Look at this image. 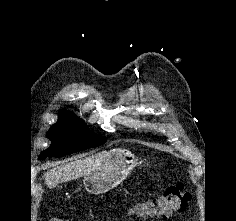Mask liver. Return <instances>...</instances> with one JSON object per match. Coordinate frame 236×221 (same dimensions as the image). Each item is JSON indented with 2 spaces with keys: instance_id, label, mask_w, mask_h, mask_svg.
I'll list each match as a JSON object with an SVG mask.
<instances>
[{
  "instance_id": "1",
  "label": "liver",
  "mask_w": 236,
  "mask_h": 221,
  "mask_svg": "<svg viewBox=\"0 0 236 221\" xmlns=\"http://www.w3.org/2000/svg\"><path fill=\"white\" fill-rule=\"evenodd\" d=\"M109 152L102 151L95 155L80 158L60 166H55L45 173V181L49 188L84 176L95 169Z\"/></svg>"
}]
</instances>
